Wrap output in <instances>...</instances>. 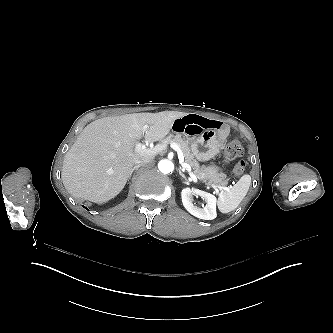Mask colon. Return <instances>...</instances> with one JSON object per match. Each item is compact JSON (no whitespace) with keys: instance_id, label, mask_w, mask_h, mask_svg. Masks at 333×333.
Listing matches in <instances>:
<instances>
[{"instance_id":"colon-1","label":"colon","mask_w":333,"mask_h":333,"mask_svg":"<svg viewBox=\"0 0 333 333\" xmlns=\"http://www.w3.org/2000/svg\"><path fill=\"white\" fill-rule=\"evenodd\" d=\"M243 152V148L242 145L240 143V141L238 140H233L231 142H229L227 144V146L225 147L223 156H222V162L225 164H229L231 161L237 159L239 156H241ZM245 168V162L240 160L238 161L235 166L233 171L236 174H240L241 172H243Z\"/></svg>"}]
</instances>
